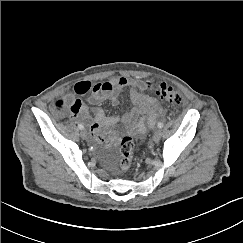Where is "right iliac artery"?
<instances>
[{
  "instance_id": "obj_1",
  "label": "right iliac artery",
  "mask_w": 243,
  "mask_h": 243,
  "mask_svg": "<svg viewBox=\"0 0 243 243\" xmlns=\"http://www.w3.org/2000/svg\"><path fill=\"white\" fill-rule=\"evenodd\" d=\"M78 128H79L80 130H82V129H84V126H83L82 124H79V125H78Z\"/></svg>"
}]
</instances>
